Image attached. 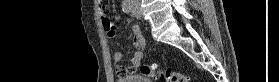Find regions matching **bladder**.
Masks as SVG:
<instances>
[{"mask_svg": "<svg viewBox=\"0 0 279 82\" xmlns=\"http://www.w3.org/2000/svg\"><path fill=\"white\" fill-rule=\"evenodd\" d=\"M118 82H153L149 79H147L144 75L142 74H131L127 76H122L119 77Z\"/></svg>", "mask_w": 279, "mask_h": 82, "instance_id": "obj_1", "label": "bladder"}]
</instances>
